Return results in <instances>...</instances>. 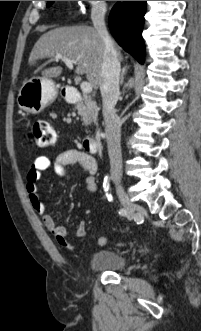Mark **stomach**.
<instances>
[{
	"label": "stomach",
	"mask_w": 201,
	"mask_h": 331,
	"mask_svg": "<svg viewBox=\"0 0 201 331\" xmlns=\"http://www.w3.org/2000/svg\"><path fill=\"white\" fill-rule=\"evenodd\" d=\"M57 97V88L53 80L33 77L21 86L17 103L20 109L29 114H38Z\"/></svg>",
	"instance_id": "obj_1"
}]
</instances>
